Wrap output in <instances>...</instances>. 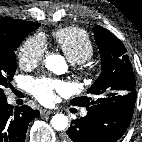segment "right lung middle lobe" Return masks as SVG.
<instances>
[{
    "label": "right lung middle lobe",
    "instance_id": "dd1d6c3e",
    "mask_svg": "<svg viewBox=\"0 0 142 142\" xmlns=\"http://www.w3.org/2000/svg\"><path fill=\"white\" fill-rule=\"evenodd\" d=\"M40 25V24H39ZM21 30L10 36L0 38V98L5 97L4 88L10 85L16 71L15 51L25 37L39 27Z\"/></svg>",
    "mask_w": 142,
    "mask_h": 142
}]
</instances>
